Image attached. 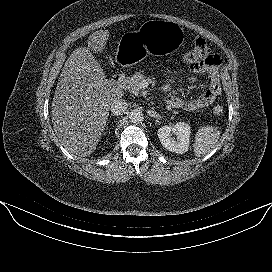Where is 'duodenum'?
I'll return each mask as SVG.
<instances>
[{
    "instance_id": "obj_1",
    "label": "duodenum",
    "mask_w": 272,
    "mask_h": 272,
    "mask_svg": "<svg viewBox=\"0 0 272 272\" xmlns=\"http://www.w3.org/2000/svg\"><path fill=\"white\" fill-rule=\"evenodd\" d=\"M125 80V75L122 72H119L117 74L114 75V82L116 84H122Z\"/></svg>"
}]
</instances>
